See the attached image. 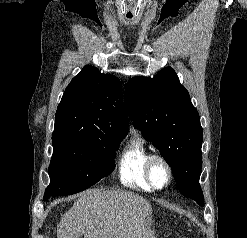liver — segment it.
I'll use <instances>...</instances> for the list:
<instances>
[{
    "label": "liver",
    "mask_w": 247,
    "mask_h": 238,
    "mask_svg": "<svg viewBox=\"0 0 247 238\" xmlns=\"http://www.w3.org/2000/svg\"><path fill=\"white\" fill-rule=\"evenodd\" d=\"M151 214V204L137 194L90 189L62 215L57 238H155Z\"/></svg>",
    "instance_id": "1"
}]
</instances>
